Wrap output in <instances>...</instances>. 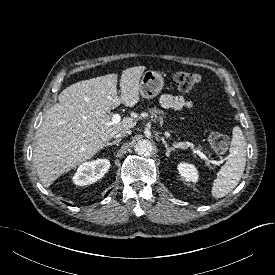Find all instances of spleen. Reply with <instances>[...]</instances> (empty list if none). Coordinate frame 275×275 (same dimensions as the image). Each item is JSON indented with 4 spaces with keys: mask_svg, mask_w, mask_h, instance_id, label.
<instances>
[{
    "mask_svg": "<svg viewBox=\"0 0 275 275\" xmlns=\"http://www.w3.org/2000/svg\"><path fill=\"white\" fill-rule=\"evenodd\" d=\"M246 165V144L240 127L232 130L229 155L225 165L220 169L213 182L211 194L214 198H222L231 192L239 183Z\"/></svg>",
    "mask_w": 275,
    "mask_h": 275,
    "instance_id": "obj_1",
    "label": "spleen"
}]
</instances>
